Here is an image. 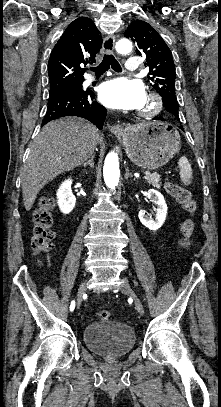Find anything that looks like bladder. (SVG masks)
Returning <instances> with one entry per match:
<instances>
[{
	"instance_id": "31cf9c89",
	"label": "bladder",
	"mask_w": 221,
	"mask_h": 407,
	"mask_svg": "<svg viewBox=\"0 0 221 407\" xmlns=\"http://www.w3.org/2000/svg\"><path fill=\"white\" fill-rule=\"evenodd\" d=\"M86 347L106 358L121 357L130 352L135 344V332L131 326L119 322H99L85 327Z\"/></svg>"
}]
</instances>
